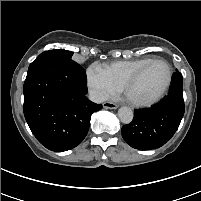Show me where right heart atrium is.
I'll use <instances>...</instances> for the list:
<instances>
[{"label": "right heart atrium", "instance_id": "obj_1", "mask_svg": "<svg viewBox=\"0 0 201 201\" xmlns=\"http://www.w3.org/2000/svg\"><path fill=\"white\" fill-rule=\"evenodd\" d=\"M86 77L93 98L99 102L112 98L119 92L107 71L98 64L88 67Z\"/></svg>", "mask_w": 201, "mask_h": 201}]
</instances>
